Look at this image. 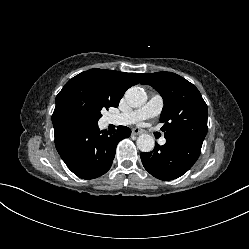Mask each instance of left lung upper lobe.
Wrapping results in <instances>:
<instances>
[{"mask_svg":"<svg viewBox=\"0 0 249 249\" xmlns=\"http://www.w3.org/2000/svg\"><path fill=\"white\" fill-rule=\"evenodd\" d=\"M142 84L151 85L164 100L160 122L165 138L188 136L204 140L207 134V105L198 89L172 72L145 74Z\"/></svg>","mask_w":249,"mask_h":249,"instance_id":"obj_1","label":"left lung upper lobe"}]
</instances>
